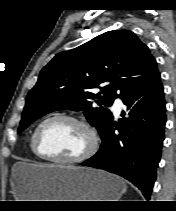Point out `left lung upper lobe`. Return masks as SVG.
Here are the masks:
<instances>
[{
    "label": "left lung upper lobe",
    "instance_id": "left-lung-upper-lobe-1",
    "mask_svg": "<svg viewBox=\"0 0 176 211\" xmlns=\"http://www.w3.org/2000/svg\"><path fill=\"white\" fill-rule=\"evenodd\" d=\"M159 76L156 60L133 32H105L75 49L58 53L41 70L26 98L18 133L47 113L69 108L83 110L103 136L113 120L105 107L111 106L116 97L123 100L147 87ZM94 88H100L103 97L93 93ZM94 101L100 107H93Z\"/></svg>",
    "mask_w": 176,
    "mask_h": 211
}]
</instances>
